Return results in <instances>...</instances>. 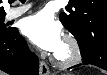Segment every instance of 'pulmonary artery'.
<instances>
[{"label": "pulmonary artery", "instance_id": "1", "mask_svg": "<svg viewBox=\"0 0 107 75\" xmlns=\"http://www.w3.org/2000/svg\"><path fill=\"white\" fill-rule=\"evenodd\" d=\"M30 7H31L30 4H26V5L12 8L9 10L7 17L9 19L17 18V17L21 16L22 14H24L26 11H28L30 9Z\"/></svg>", "mask_w": 107, "mask_h": 75}]
</instances>
